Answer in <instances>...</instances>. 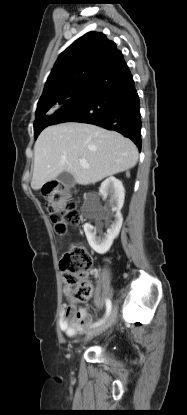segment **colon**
I'll return each instance as SVG.
<instances>
[{
    "mask_svg": "<svg viewBox=\"0 0 187 415\" xmlns=\"http://www.w3.org/2000/svg\"><path fill=\"white\" fill-rule=\"evenodd\" d=\"M46 208L50 213L54 230L64 235L71 227L80 222V215L75 205L76 190L60 181H51L43 188ZM92 266V258L83 247H74L60 261L68 296L74 303L87 301L93 292L92 284L85 273Z\"/></svg>",
    "mask_w": 187,
    "mask_h": 415,
    "instance_id": "obj_1",
    "label": "colon"
}]
</instances>
